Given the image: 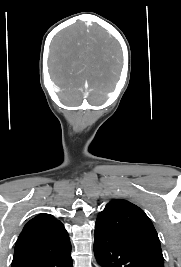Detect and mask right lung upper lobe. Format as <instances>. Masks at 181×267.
<instances>
[{"label":"right lung upper lobe","mask_w":181,"mask_h":267,"mask_svg":"<svg viewBox=\"0 0 181 267\" xmlns=\"http://www.w3.org/2000/svg\"><path fill=\"white\" fill-rule=\"evenodd\" d=\"M70 248V240L63 224L51 215L42 213L23 228L15 245L14 258L49 255Z\"/></svg>","instance_id":"cb5924a9"}]
</instances>
